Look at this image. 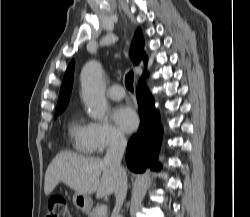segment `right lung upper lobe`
Instances as JSON below:
<instances>
[{
	"instance_id": "right-lung-upper-lobe-1",
	"label": "right lung upper lobe",
	"mask_w": 250,
	"mask_h": 217,
	"mask_svg": "<svg viewBox=\"0 0 250 217\" xmlns=\"http://www.w3.org/2000/svg\"><path fill=\"white\" fill-rule=\"evenodd\" d=\"M129 54L132 62L135 65L139 64V62L143 58H145L144 39L142 32L139 28L135 32ZM73 71H74V60L69 64L68 69L64 75L56 111H63L69 102L73 84Z\"/></svg>"
}]
</instances>
